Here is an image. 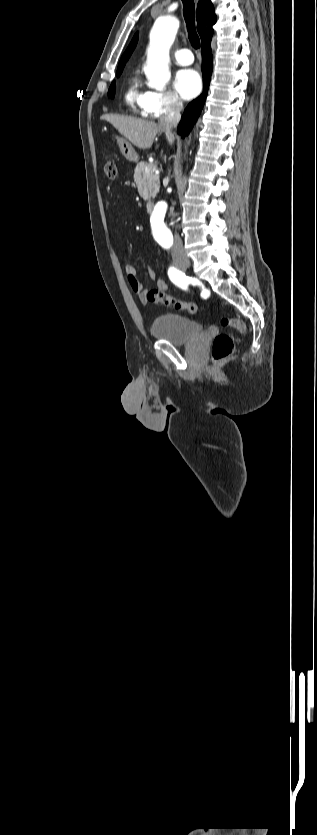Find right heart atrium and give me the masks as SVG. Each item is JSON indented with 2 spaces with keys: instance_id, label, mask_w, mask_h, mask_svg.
<instances>
[{
  "instance_id": "obj_1",
  "label": "right heart atrium",
  "mask_w": 317,
  "mask_h": 835,
  "mask_svg": "<svg viewBox=\"0 0 317 835\" xmlns=\"http://www.w3.org/2000/svg\"><path fill=\"white\" fill-rule=\"evenodd\" d=\"M183 107L182 101L172 91H147L143 113L151 119L178 113Z\"/></svg>"
}]
</instances>
